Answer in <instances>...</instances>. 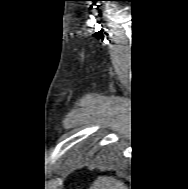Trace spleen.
Returning a JSON list of instances; mask_svg holds the SVG:
<instances>
[{"instance_id": "3e777b00", "label": "spleen", "mask_w": 188, "mask_h": 189, "mask_svg": "<svg viewBox=\"0 0 188 189\" xmlns=\"http://www.w3.org/2000/svg\"><path fill=\"white\" fill-rule=\"evenodd\" d=\"M90 189H124V186L114 178L99 177Z\"/></svg>"}]
</instances>
